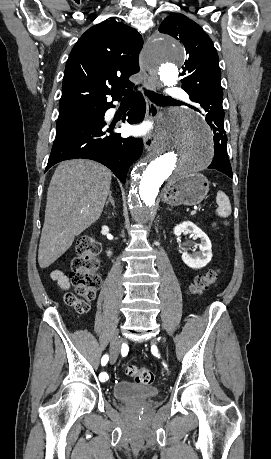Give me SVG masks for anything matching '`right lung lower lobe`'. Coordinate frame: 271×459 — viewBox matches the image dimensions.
Returning <instances> with one entry per match:
<instances>
[{
    "label": "right lung lower lobe",
    "mask_w": 271,
    "mask_h": 459,
    "mask_svg": "<svg viewBox=\"0 0 271 459\" xmlns=\"http://www.w3.org/2000/svg\"><path fill=\"white\" fill-rule=\"evenodd\" d=\"M113 107L112 103L106 109ZM145 101L141 93L137 94V99L128 112L125 120L132 124L140 121L145 113ZM105 115V113H104ZM104 116L97 119H84L71 122L57 127L56 138L51 150L45 172L58 162L86 158L95 160L107 166L125 183L129 167L142 153L143 142L141 139L133 137L122 138L119 133L113 131V126L105 128Z\"/></svg>",
    "instance_id": "98d812e1"
}]
</instances>
